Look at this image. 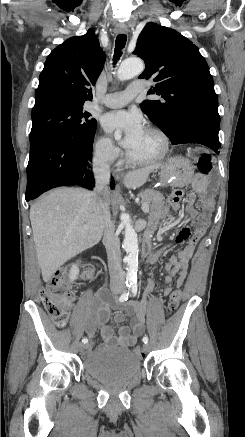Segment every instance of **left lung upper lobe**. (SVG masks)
Listing matches in <instances>:
<instances>
[{"mask_svg": "<svg viewBox=\"0 0 245 437\" xmlns=\"http://www.w3.org/2000/svg\"><path fill=\"white\" fill-rule=\"evenodd\" d=\"M145 61L140 79L154 78L148 94L160 100H144L142 111L174 140L189 119L220 125L218 97L206 60L199 49L179 32L147 23L133 51Z\"/></svg>", "mask_w": 245, "mask_h": 437, "instance_id": "left-lung-upper-lobe-1", "label": "left lung upper lobe"}]
</instances>
